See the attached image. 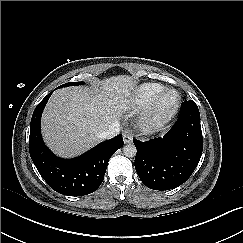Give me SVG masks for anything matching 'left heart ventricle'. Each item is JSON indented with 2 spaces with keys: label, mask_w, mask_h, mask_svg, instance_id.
<instances>
[{
  "label": "left heart ventricle",
  "mask_w": 243,
  "mask_h": 243,
  "mask_svg": "<svg viewBox=\"0 0 243 243\" xmlns=\"http://www.w3.org/2000/svg\"><path fill=\"white\" fill-rule=\"evenodd\" d=\"M175 101H176V95H175V93H169L166 97H165V99H164V106L165 107H171L174 103H175Z\"/></svg>",
  "instance_id": "obj_1"
}]
</instances>
